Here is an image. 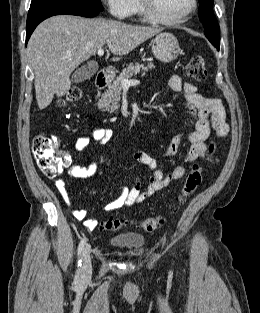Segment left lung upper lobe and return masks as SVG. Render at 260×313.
Returning a JSON list of instances; mask_svg holds the SVG:
<instances>
[{
  "label": "left lung upper lobe",
  "mask_w": 260,
  "mask_h": 313,
  "mask_svg": "<svg viewBox=\"0 0 260 313\" xmlns=\"http://www.w3.org/2000/svg\"><path fill=\"white\" fill-rule=\"evenodd\" d=\"M199 17L205 28V35L208 40L216 47L219 48V25L213 12L214 0H199Z\"/></svg>",
  "instance_id": "5c2ea615"
}]
</instances>
